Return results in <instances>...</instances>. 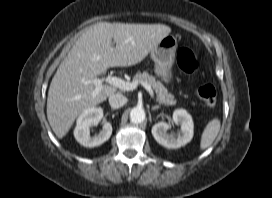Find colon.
I'll return each mask as SVG.
<instances>
[{
  "label": "colon",
  "instance_id": "obj_1",
  "mask_svg": "<svg viewBox=\"0 0 272 198\" xmlns=\"http://www.w3.org/2000/svg\"><path fill=\"white\" fill-rule=\"evenodd\" d=\"M176 59L179 68L184 73L193 74L197 71L198 59L191 49L181 47ZM198 97L206 106L213 107L217 102V91L212 85H203L198 89Z\"/></svg>",
  "mask_w": 272,
  "mask_h": 198
}]
</instances>
